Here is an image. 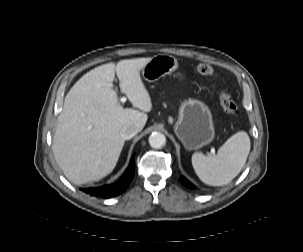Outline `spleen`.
<instances>
[{"instance_id": "3e777b00", "label": "spleen", "mask_w": 303, "mask_h": 252, "mask_svg": "<svg viewBox=\"0 0 303 252\" xmlns=\"http://www.w3.org/2000/svg\"><path fill=\"white\" fill-rule=\"evenodd\" d=\"M251 148L250 138L244 131L231 136L214 157L194 153L192 166L205 184L222 186L231 182L244 167Z\"/></svg>"}]
</instances>
